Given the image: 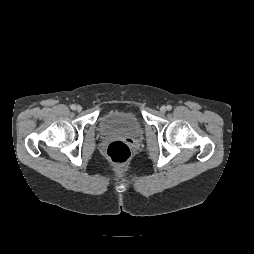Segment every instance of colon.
<instances>
[{"mask_svg": "<svg viewBox=\"0 0 254 254\" xmlns=\"http://www.w3.org/2000/svg\"><path fill=\"white\" fill-rule=\"evenodd\" d=\"M105 155L112 167L123 168L130 161L131 149L124 141H114L107 146Z\"/></svg>", "mask_w": 254, "mask_h": 254, "instance_id": "1", "label": "colon"}]
</instances>
